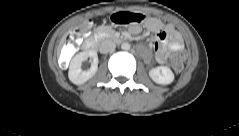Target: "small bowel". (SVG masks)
Listing matches in <instances>:
<instances>
[{
  "instance_id": "1",
  "label": "small bowel",
  "mask_w": 239,
  "mask_h": 136,
  "mask_svg": "<svg viewBox=\"0 0 239 136\" xmlns=\"http://www.w3.org/2000/svg\"><path fill=\"white\" fill-rule=\"evenodd\" d=\"M145 28L149 31L155 32V41L153 42V48L155 50L156 61L160 64L167 63L171 54L181 50L182 42L178 33H176L172 26L167 25L165 27L166 32L170 35V42L167 45V34L163 30L162 23L156 18H150L145 23ZM141 28L138 26H132L130 32L134 35L139 34Z\"/></svg>"
}]
</instances>
